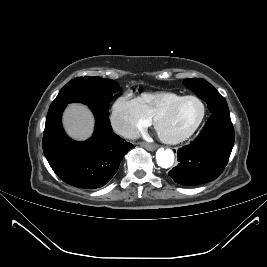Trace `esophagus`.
I'll use <instances>...</instances> for the list:
<instances>
[{
  "label": "esophagus",
  "instance_id": "obj_1",
  "mask_svg": "<svg viewBox=\"0 0 267 267\" xmlns=\"http://www.w3.org/2000/svg\"><path fill=\"white\" fill-rule=\"evenodd\" d=\"M141 146H143L144 148H146L147 150H150V151H153L158 147L156 144H149V143H145V142H142Z\"/></svg>",
  "mask_w": 267,
  "mask_h": 267
}]
</instances>
